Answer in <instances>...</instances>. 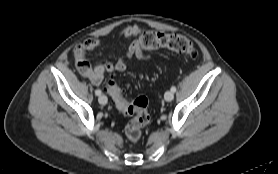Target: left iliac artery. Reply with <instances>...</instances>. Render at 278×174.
<instances>
[{
  "label": "left iliac artery",
  "instance_id": "1",
  "mask_svg": "<svg viewBox=\"0 0 278 174\" xmlns=\"http://www.w3.org/2000/svg\"><path fill=\"white\" fill-rule=\"evenodd\" d=\"M171 91L174 93V92H176V87L175 86H172L171 87Z\"/></svg>",
  "mask_w": 278,
  "mask_h": 174
}]
</instances>
